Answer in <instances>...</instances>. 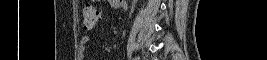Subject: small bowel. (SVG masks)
Returning <instances> with one entry per match:
<instances>
[{"instance_id":"c3829d8e","label":"small bowel","mask_w":267,"mask_h":60,"mask_svg":"<svg viewBox=\"0 0 267 60\" xmlns=\"http://www.w3.org/2000/svg\"><path fill=\"white\" fill-rule=\"evenodd\" d=\"M88 40H89V37L87 35H84L82 38H81V44L82 45H86L88 43Z\"/></svg>"}]
</instances>
